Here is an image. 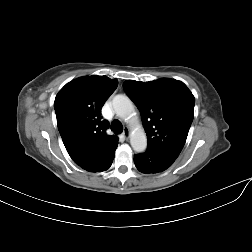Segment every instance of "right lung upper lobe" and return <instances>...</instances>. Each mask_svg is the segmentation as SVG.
I'll return each mask as SVG.
<instances>
[{"instance_id":"right-lung-upper-lobe-1","label":"right lung upper lobe","mask_w":252,"mask_h":252,"mask_svg":"<svg viewBox=\"0 0 252 252\" xmlns=\"http://www.w3.org/2000/svg\"><path fill=\"white\" fill-rule=\"evenodd\" d=\"M117 81L107 76L80 77L57 94L54 108L57 125L72 160L90 172L107 170L113 161L118 138L107 135L108 121L101 108L115 91Z\"/></svg>"}]
</instances>
